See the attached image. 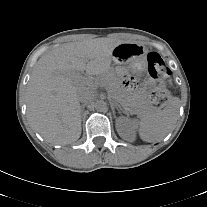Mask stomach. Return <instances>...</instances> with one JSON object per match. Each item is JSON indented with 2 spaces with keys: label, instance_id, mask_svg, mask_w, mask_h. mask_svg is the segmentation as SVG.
<instances>
[{
  "label": "stomach",
  "instance_id": "0dacf381",
  "mask_svg": "<svg viewBox=\"0 0 207 207\" xmlns=\"http://www.w3.org/2000/svg\"><path fill=\"white\" fill-rule=\"evenodd\" d=\"M146 55L145 46L138 43H121L117 45L112 52V60L115 64L124 65L131 73L142 75L146 72ZM125 104L133 103L138 97L123 88L119 89L116 96Z\"/></svg>",
  "mask_w": 207,
  "mask_h": 207
}]
</instances>
